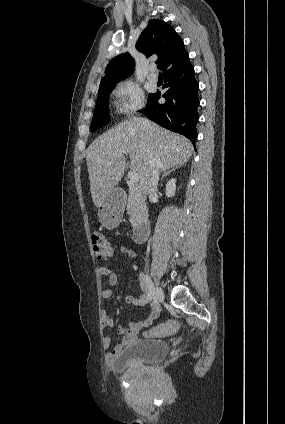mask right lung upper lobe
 Returning <instances> with one entry per match:
<instances>
[{
	"label": "right lung upper lobe",
	"mask_w": 285,
	"mask_h": 424,
	"mask_svg": "<svg viewBox=\"0 0 285 424\" xmlns=\"http://www.w3.org/2000/svg\"><path fill=\"white\" fill-rule=\"evenodd\" d=\"M136 48L147 57L158 55V63L162 66L163 74L188 58L183 40L169 24L162 20L153 19L148 22L136 42ZM133 69L134 60L129 53L116 56L107 65L99 88L120 82L130 76Z\"/></svg>",
	"instance_id": "right-lung-upper-lobe-1"
}]
</instances>
